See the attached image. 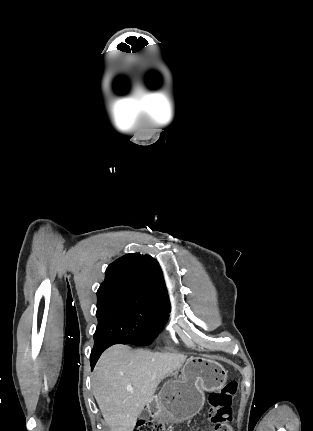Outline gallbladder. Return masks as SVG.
<instances>
[{
  "label": "gallbladder",
  "mask_w": 313,
  "mask_h": 431,
  "mask_svg": "<svg viewBox=\"0 0 313 431\" xmlns=\"http://www.w3.org/2000/svg\"><path fill=\"white\" fill-rule=\"evenodd\" d=\"M143 416H144V417H147V416H148V412H147V410H144V414H143Z\"/></svg>",
  "instance_id": "1"
}]
</instances>
